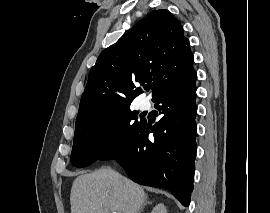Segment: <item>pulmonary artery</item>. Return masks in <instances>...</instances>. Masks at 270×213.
I'll return each instance as SVG.
<instances>
[{
    "instance_id": "1",
    "label": "pulmonary artery",
    "mask_w": 270,
    "mask_h": 213,
    "mask_svg": "<svg viewBox=\"0 0 270 213\" xmlns=\"http://www.w3.org/2000/svg\"><path fill=\"white\" fill-rule=\"evenodd\" d=\"M145 107H146V106H145L144 104L140 105V108H142V109L145 108Z\"/></svg>"
}]
</instances>
